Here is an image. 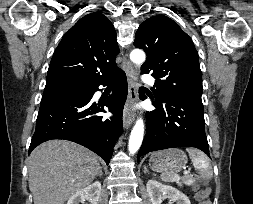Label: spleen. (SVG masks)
Wrapping results in <instances>:
<instances>
[{
  "mask_svg": "<svg viewBox=\"0 0 253 204\" xmlns=\"http://www.w3.org/2000/svg\"><path fill=\"white\" fill-rule=\"evenodd\" d=\"M190 159L194 167L198 170V175H189L182 178V181L186 185H192L196 181L202 179H211L213 176V170L210 164L209 158L197 149L187 148ZM161 179L165 182H176L180 179L177 174H161Z\"/></svg>",
  "mask_w": 253,
  "mask_h": 204,
  "instance_id": "1",
  "label": "spleen"
}]
</instances>
